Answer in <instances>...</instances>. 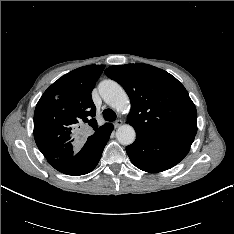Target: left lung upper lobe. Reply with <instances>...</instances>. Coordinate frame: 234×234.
<instances>
[{"instance_id":"left-lung-upper-lobe-1","label":"left lung upper lobe","mask_w":234,"mask_h":234,"mask_svg":"<svg viewBox=\"0 0 234 234\" xmlns=\"http://www.w3.org/2000/svg\"><path fill=\"white\" fill-rule=\"evenodd\" d=\"M105 74L117 81L130 97L128 122L136 134L195 137V105L184 86L171 74L142 63L114 65Z\"/></svg>"}]
</instances>
